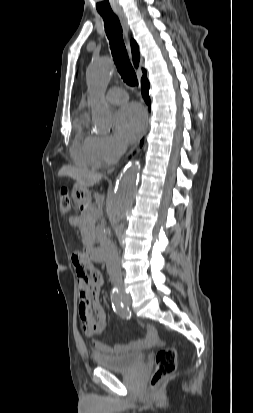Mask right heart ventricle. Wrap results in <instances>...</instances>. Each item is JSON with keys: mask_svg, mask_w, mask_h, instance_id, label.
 I'll return each mask as SVG.
<instances>
[{"mask_svg": "<svg viewBox=\"0 0 253 413\" xmlns=\"http://www.w3.org/2000/svg\"><path fill=\"white\" fill-rule=\"evenodd\" d=\"M85 123V115H81L75 121V138L71 154L77 164L99 168L103 160L97 148V136L85 130Z\"/></svg>", "mask_w": 253, "mask_h": 413, "instance_id": "e07e8e85", "label": "right heart ventricle"}]
</instances>
